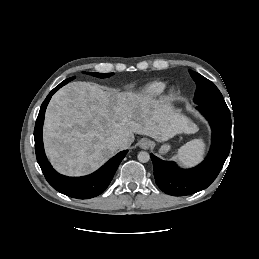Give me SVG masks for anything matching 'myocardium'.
Masks as SVG:
<instances>
[{"instance_id":"obj_1","label":"myocardium","mask_w":259,"mask_h":259,"mask_svg":"<svg viewBox=\"0 0 259 259\" xmlns=\"http://www.w3.org/2000/svg\"><path fill=\"white\" fill-rule=\"evenodd\" d=\"M176 95H177L176 90H175V89H170V90H168L167 93H166V98H167L168 100H173V99L176 98Z\"/></svg>"}]
</instances>
